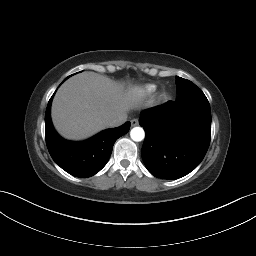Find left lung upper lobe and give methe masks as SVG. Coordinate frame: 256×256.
<instances>
[{
    "label": "left lung upper lobe",
    "mask_w": 256,
    "mask_h": 256,
    "mask_svg": "<svg viewBox=\"0 0 256 256\" xmlns=\"http://www.w3.org/2000/svg\"><path fill=\"white\" fill-rule=\"evenodd\" d=\"M176 90L179 96L201 91L194 83L181 77H176Z\"/></svg>",
    "instance_id": "1"
}]
</instances>
